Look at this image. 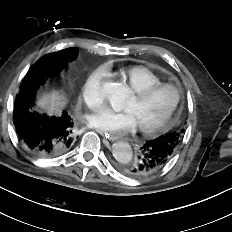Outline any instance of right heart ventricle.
Segmentation results:
<instances>
[{"label": "right heart ventricle", "instance_id": "e07e8e85", "mask_svg": "<svg viewBox=\"0 0 232 232\" xmlns=\"http://www.w3.org/2000/svg\"><path fill=\"white\" fill-rule=\"evenodd\" d=\"M120 77L134 90L148 85L161 83V79L150 69L144 66H129L120 71Z\"/></svg>", "mask_w": 232, "mask_h": 232}]
</instances>
